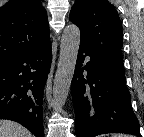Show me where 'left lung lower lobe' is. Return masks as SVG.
Here are the masks:
<instances>
[{
  "label": "left lung lower lobe",
  "mask_w": 144,
  "mask_h": 137,
  "mask_svg": "<svg viewBox=\"0 0 144 137\" xmlns=\"http://www.w3.org/2000/svg\"><path fill=\"white\" fill-rule=\"evenodd\" d=\"M83 71L87 72L86 78ZM71 92L77 137L112 132L141 137L122 64L96 55L80 44Z\"/></svg>",
  "instance_id": "1"
}]
</instances>
